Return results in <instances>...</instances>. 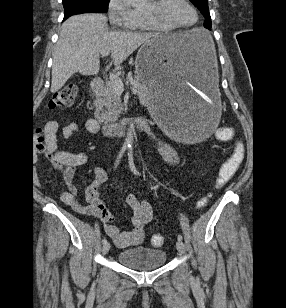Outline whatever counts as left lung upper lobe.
Returning <instances> with one entry per match:
<instances>
[{
    "mask_svg": "<svg viewBox=\"0 0 286 308\" xmlns=\"http://www.w3.org/2000/svg\"><path fill=\"white\" fill-rule=\"evenodd\" d=\"M190 1L199 8L201 13L206 18L204 22V27L207 29H211L212 23H211L209 8H208V0H190Z\"/></svg>",
    "mask_w": 286,
    "mask_h": 308,
    "instance_id": "obj_1",
    "label": "left lung upper lobe"
}]
</instances>
